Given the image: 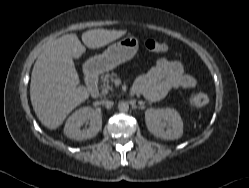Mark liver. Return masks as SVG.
Instances as JSON below:
<instances>
[{"label":"liver","mask_w":249,"mask_h":188,"mask_svg":"<svg viewBox=\"0 0 249 188\" xmlns=\"http://www.w3.org/2000/svg\"><path fill=\"white\" fill-rule=\"evenodd\" d=\"M126 30L93 29L82 34L90 49L103 47L122 37ZM86 49L76 34H67L51 41L38 56L31 75L30 99L40 122L57 129L68 114L89 98L80 80L73 58H80Z\"/></svg>","instance_id":"obj_1"}]
</instances>
